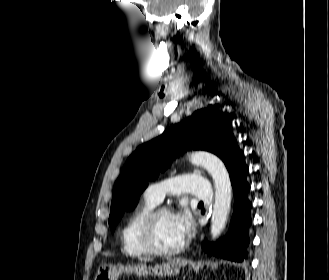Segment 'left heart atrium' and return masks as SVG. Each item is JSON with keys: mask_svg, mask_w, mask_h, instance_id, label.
<instances>
[{"mask_svg": "<svg viewBox=\"0 0 329 280\" xmlns=\"http://www.w3.org/2000/svg\"><path fill=\"white\" fill-rule=\"evenodd\" d=\"M177 229L183 239L188 238L194 228V220L187 209H182L173 214Z\"/></svg>", "mask_w": 329, "mask_h": 280, "instance_id": "obj_1", "label": "left heart atrium"}]
</instances>
